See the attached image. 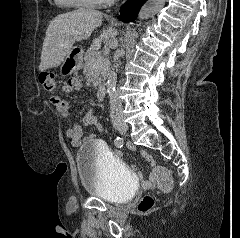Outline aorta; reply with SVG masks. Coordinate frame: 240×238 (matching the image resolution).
Returning a JSON list of instances; mask_svg holds the SVG:
<instances>
[{"label": "aorta", "instance_id": "762f6f07", "mask_svg": "<svg viewBox=\"0 0 240 238\" xmlns=\"http://www.w3.org/2000/svg\"><path fill=\"white\" fill-rule=\"evenodd\" d=\"M165 1L166 0H147L139 12L138 18L144 20L154 16L163 8ZM116 82L117 72L115 69H112L107 79V93L109 97H111L116 90Z\"/></svg>", "mask_w": 240, "mask_h": 238}]
</instances>
